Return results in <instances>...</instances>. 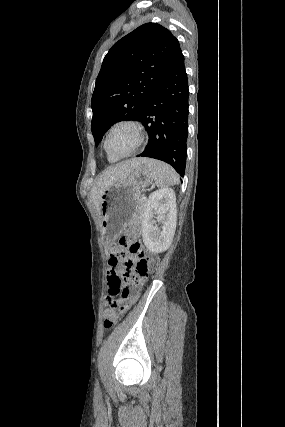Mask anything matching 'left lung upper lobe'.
Returning a JSON list of instances; mask_svg holds the SVG:
<instances>
[{"instance_id":"5c2ea615","label":"left lung upper lobe","mask_w":285,"mask_h":427,"mask_svg":"<svg viewBox=\"0 0 285 427\" xmlns=\"http://www.w3.org/2000/svg\"><path fill=\"white\" fill-rule=\"evenodd\" d=\"M181 53L178 40L157 23L141 25L111 47L91 101V130L96 145L116 122L139 120L154 90Z\"/></svg>"}]
</instances>
